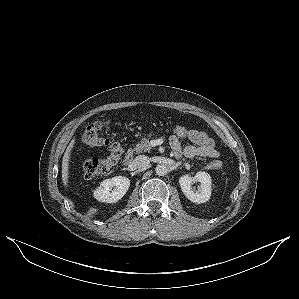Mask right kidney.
I'll return each instance as SVG.
<instances>
[{
	"label": "right kidney",
	"instance_id": "ca27d5eb",
	"mask_svg": "<svg viewBox=\"0 0 299 299\" xmlns=\"http://www.w3.org/2000/svg\"><path fill=\"white\" fill-rule=\"evenodd\" d=\"M130 180L127 177L116 176L101 182L94 191V198L101 202L115 203L128 191Z\"/></svg>",
	"mask_w": 299,
	"mask_h": 299
}]
</instances>
